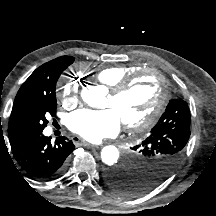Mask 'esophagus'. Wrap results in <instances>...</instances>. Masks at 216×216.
I'll return each instance as SVG.
<instances>
[{"label": "esophagus", "mask_w": 216, "mask_h": 216, "mask_svg": "<svg viewBox=\"0 0 216 216\" xmlns=\"http://www.w3.org/2000/svg\"><path fill=\"white\" fill-rule=\"evenodd\" d=\"M72 141L75 143V144H80V145H84V146H89V147H94L95 145H92L90 144L89 142L85 141L83 138H81L80 136L78 135H74L72 137Z\"/></svg>", "instance_id": "34e87169"}]
</instances>
